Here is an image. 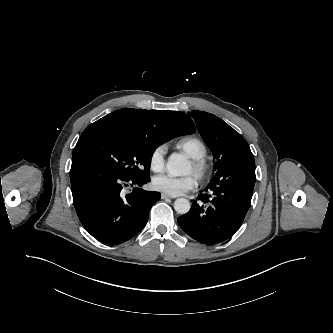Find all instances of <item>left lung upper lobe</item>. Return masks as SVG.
<instances>
[{
  "label": "left lung upper lobe",
  "instance_id": "5c2ea615",
  "mask_svg": "<svg viewBox=\"0 0 333 333\" xmlns=\"http://www.w3.org/2000/svg\"><path fill=\"white\" fill-rule=\"evenodd\" d=\"M189 115L194 118L199 133L214 154L216 170L234 156L250 151L245 139L217 116L201 111H192Z\"/></svg>",
  "mask_w": 333,
  "mask_h": 333
}]
</instances>
